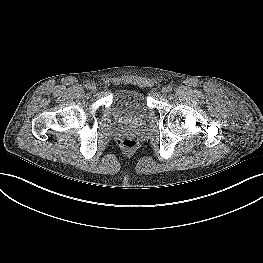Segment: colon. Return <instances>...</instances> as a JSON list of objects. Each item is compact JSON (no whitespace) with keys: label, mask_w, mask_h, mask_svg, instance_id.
Segmentation results:
<instances>
[{"label":"colon","mask_w":263,"mask_h":263,"mask_svg":"<svg viewBox=\"0 0 263 263\" xmlns=\"http://www.w3.org/2000/svg\"><path fill=\"white\" fill-rule=\"evenodd\" d=\"M136 141L133 140V139H125L123 141V146L126 148V149H133L136 147Z\"/></svg>","instance_id":"5ec220e1"}]
</instances>
